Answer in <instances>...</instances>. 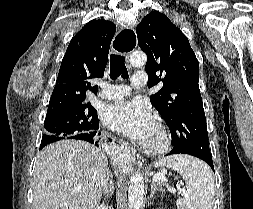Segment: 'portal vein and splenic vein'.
<instances>
[{"label": "portal vein and splenic vein", "instance_id": "portal-vein-and-splenic-vein-1", "mask_svg": "<svg viewBox=\"0 0 253 209\" xmlns=\"http://www.w3.org/2000/svg\"><path fill=\"white\" fill-rule=\"evenodd\" d=\"M153 182H166V178H165V176L163 174H160V173L159 174H155L153 176ZM168 190L171 193H175L176 192L175 189L170 188V187H168ZM177 190H178L179 194H184L185 193V190L180 189L179 187L177 188Z\"/></svg>", "mask_w": 253, "mask_h": 209}]
</instances>
